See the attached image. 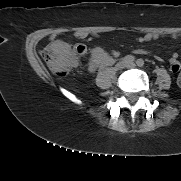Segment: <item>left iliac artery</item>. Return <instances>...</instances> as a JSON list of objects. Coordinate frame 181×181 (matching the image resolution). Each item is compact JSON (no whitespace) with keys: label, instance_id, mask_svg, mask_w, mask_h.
I'll return each mask as SVG.
<instances>
[{"label":"left iliac artery","instance_id":"1","mask_svg":"<svg viewBox=\"0 0 181 181\" xmlns=\"http://www.w3.org/2000/svg\"><path fill=\"white\" fill-rule=\"evenodd\" d=\"M136 63L139 67H142L144 65V61L142 59H138Z\"/></svg>","mask_w":181,"mask_h":181}]
</instances>
